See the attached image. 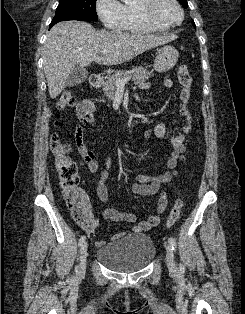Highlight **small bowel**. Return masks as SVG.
<instances>
[{
  "mask_svg": "<svg viewBox=\"0 0 245 314\" xmlns=\"http://www.w3.org/2000/svg\"><path fill=\"white\" fill-rule=\"evenodd\" d=\"M164 88H171L173 82L170 79H166L162 83ZM142 89H148L151 87V84L148 82H143L140 84ZM94 110L95 106L91 100L83 99L76 106V113L79 118V125L76 127L75 131V141L79 153L82 155L84 163L86 164L89 171L92 173H99L102 181L97 187V195L101 201L106 202L108 200V189L104 181L108 177V170L112 166V158L108 156L105 160V169L100 170L99 164L95 159L94 152L89 149L86 145L83 126L90 125L94 121ZM186 124H191V120L186 119ZM170 128L166 123L158 122L154 127L147 129L144 132V137L146 139L156 137L161 141H167L170 145L172 151L170 156L166 160V167L168 171L157 175V176H147L140 174L136 177L135 182L131 186V190L134 194L149 196L154 194H159L157 202L158 213H162L165 210L167 201L166 193L161 191L160 188L162 184L168 183L172 180L174 170L178 164V160L181 155L185 152V135L182 133L169 135ZM84 205L87 210L88 219L90 221V227L87 229L89 234H94L96 232V227L98 220L96 216L91 212L90 202L87 196L84 195ZM102 216L105 219L114 221V222H127L133 223L132 230L135 233L146 232L153 227L157 226L160 223L159 215H150L146 219L137 221V217L133 213L122 212L114 208H104L102 210ZM127 234L126 231H121L111 237V240L119 239ZM104 242H98V244H103Z\"/></svg>",
  "mask_w": 245,
  "mask_h": 314,
  "instance_id": "small-bowel-1",
  "label": "small bowel"
}]
</instances>
